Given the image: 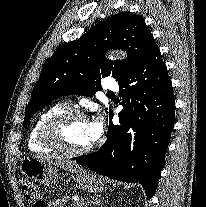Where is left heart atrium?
<instances>
[{"label": "left heart atrium", "mask_w": 206, "mask_h": 207, "mask_svg": "<svg viewBox=\"0 0 206 207\" xmlns=\"http://www.w3.org/2000/svg\"><path fill=\"white\" fill-rule=\"evenodd\" d=\"M90 126H91L92 141H96L101 136L104 129L103 118L100 115L96 116L90 122Z\"/></svg>", "instance_id": "1"}]
</instances>
